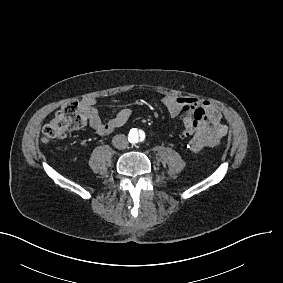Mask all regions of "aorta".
I'll use <instances>...</instances> for the list:
<instances>
[{
    "label": "aorta",
    "mask_w": 283,
    "mask_h": 283,
    "mask_svg": "<svg viewBox=\"0 0 283 283\" xmlns=\"http://www.w3.org/2000/svg\"><path fill=\"white\" fill-rule=\"evenodd\" d=\"M128 139L130 143H133V144L142 142L145 139V132L138 128H132L129 131Z\"/></svg>",
    "instance_id": "aorta-1"
}]
</instances>
